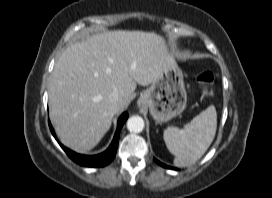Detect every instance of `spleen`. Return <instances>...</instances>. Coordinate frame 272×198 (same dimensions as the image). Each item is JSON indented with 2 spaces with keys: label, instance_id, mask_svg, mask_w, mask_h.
<instances>
[{
  "label": "spleen",
  "instance_id": "obj_1",
  "mask_svg": "<svg viewBox=\"0 0 272 198\" xmlns=\"http://www.w3.org/2000/svg\"><path fill=\"white\" fill-rule=\"evenodd\" d=\"M217 129V113L213 105L194 117L183 129L168 127L163 138L168 150L175 156L174 165L194 164L211 145Z\"/></svg>",
  "mask_w": 272,
  "mask_h": 198
}]
</instances>
